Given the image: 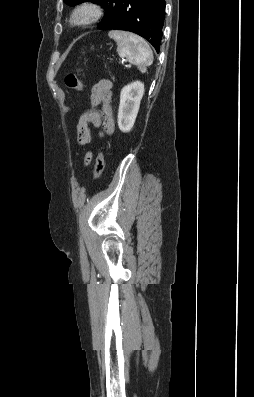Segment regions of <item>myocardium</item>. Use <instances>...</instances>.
I'll return each mask as SVG.
<instances>
[{"mask_svg": "<svg viewBox=\"0 0 254 397\" xmlns=\"http://www.w3.org/2000/svg\"><path fill=\"white\" fill-rule=\"evenodd\" d=\"M102 16L100 6L91 2H84L74 7L70 13L67 24L70 28L91 25Z\"/></svg>", "mask_w": 254, "mask_h": 397, "instance_id": "obj_1", "label": "myocardium"}]
</instances>
